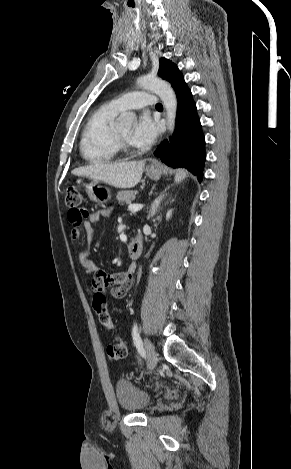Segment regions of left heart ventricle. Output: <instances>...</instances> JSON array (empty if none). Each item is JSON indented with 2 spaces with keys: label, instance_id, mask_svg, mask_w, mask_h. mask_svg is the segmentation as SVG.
Returning <instances> with one entry per match:
<instances>
[{
  "label": "left heart ventricle",
  "instance_id": "1",
  "mask_svg": "<svg viewBox=\"0 0 291 469\" xmlns=\"http://www.w3.org/2000/svg\"><path fill=\"white\" fill-rule=\"evenodd\" d=\"M117 131L124 139H126L128 142H130L131 129L129 127L119 128V129H117Z\"/></svg>",
  "mask_w": 291,
  "mask_h": 469
}]
</instances>
